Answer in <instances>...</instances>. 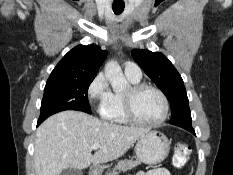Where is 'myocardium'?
Returning <instances> with one entry per match:
<instances>
[{"label": "myocardium", "instance_id": "myocardium-1", "mask_svg": "<svg viewBox=\"0 0 233 175\" xmlns=\"http://www.w3.org/2000/svg\"><path fill=\"white\" fill-rule=\"evenodd\" d=\"M143 90H153L155 91L161 98L162 103H163V113L162 116L153 122H144L140 120L134 111V98L135 96L140 93ZM123 106H124V111L125 115L128 118V120L137 126L141 127H157L164 123L169 115V100L166 96V94L157 86L147 84V83H137L134 84L130 89L129 92H126L123 94Z\"/></svg>", "mask_w": 233, "mask_h": 175}]
</instances>
